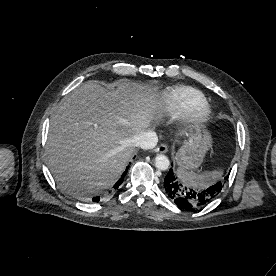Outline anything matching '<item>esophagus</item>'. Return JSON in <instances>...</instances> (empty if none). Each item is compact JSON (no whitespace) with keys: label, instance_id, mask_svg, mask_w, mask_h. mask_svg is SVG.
Here are the masks:
<instances>
[{"label":"esophagus","instance_id":"1","mask_svg":"<svg viewBox=\"0 0 276 276\" xmlns=\"http://www.w3.org/2000/svg\"><path fill=\"white\" fill-rule=\"evenodd\" d=\"M155 152H158V153H166L168 151V148L165 144H161L159 146H157L155 149H154Z\"/></svg>","mask_w":276,"mask_h":276}]
</instances>
